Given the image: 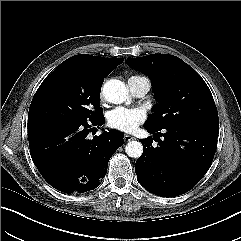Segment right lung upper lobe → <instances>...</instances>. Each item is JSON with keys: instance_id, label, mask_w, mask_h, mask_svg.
Returning <instances> with one entry per match:
<instances>
[{"instance_id": "right-lung-upper-lobe-1", "label": "right lung upper lobe", "mask_w": 241, "mask_h": 241, "mask_svg": "<svg viewBox=\"0 0 241 241\" xmlns=\"http://www.w3.org/2000/svg\"><path fill=\"white\" fill-rule=\"evenodd\" d=\"M123 58H103L88 54H79L68 58L66 61L72 63L78 74L92 82L103 83L104 78L109 75Z\"/></svg>"}]
</instances>
